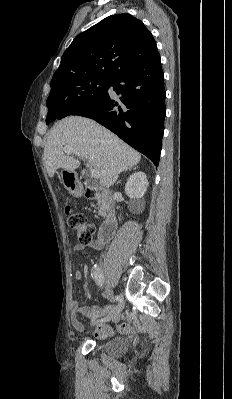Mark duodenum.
Segmentation results:
<instances>
[{
    "mask_svg": "<svg viewBox=\"0 0 232 399\" xmlns=\"http://www.w3.org/2000/svg\"><path fill=\"white\" fill-rule=\"evenodd\" d=\"M83 193L85 197L88 199H96V198H102L105 200H108L109 195L108 192L102 189H99L97 187L87 185L85 186ZM118 221L117 217L114 213H109L108 216L106 217V220L104 221L103 225L101 226L99 233H98V239L102 243H107L111 240L113 235L115 234V231L117 229Z\"/></svg>",
    "mask_w": 232,
    "mask_h": 399,
    "instance_id": "obj_1",
    "label": "duodenum"
}]
</instances>
